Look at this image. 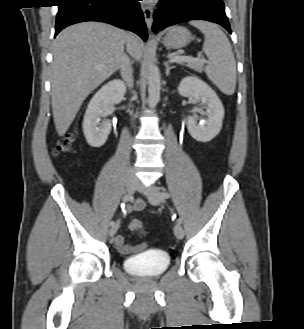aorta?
I'll return each mask as SVG.
<instances>
[{
	"instance_id": "aorta-1",
	"label": "aorta",
	"mask_w": 304,
	"mask_h": 329,
	"mask_svg": "<svg viewBox=\"0 0 304 329\" xmlns=\"http://www.w3.org/2000/svg\"><path fill=\"white\" fill-rule=\"evenodd\" d=\"M160 73L156 65L151 64L149 66L148 73V104L150 108L156 107L160 100Z\"/></svg>"
}]
</instances>
